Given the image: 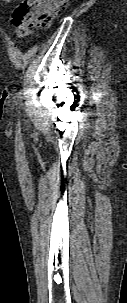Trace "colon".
Here are the masks:
<instances>
[{"instance_id":"obj_1","label":"colon","mask_w":127,"mask_h":303,"mask_svg":"<svg viewBox=\"0 0 127 303\" xmlns=\"http://www.w3.org/2000/svg\"><path fill=\"white\" fill-rule=\"evenodd\" d=\"M67 3L68 0H25L16 7L12 24L21 36H26L33 28L48 27L52 18L63 11Z\"/></svg>"}]
</instances>
